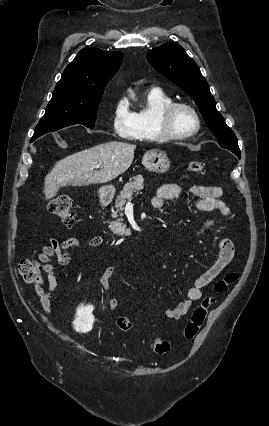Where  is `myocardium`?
I'll use <instances>...</instances> for the list:
<instances>
[{
    "label": "myocardium",
    "mask_w": 269,
    "mask_h": 426,
    "mask_svg": "<svg viewBox=\"0 0 269 426\" xmlns=\"http://www.w3.org/2000/svg\"><path fill=\"white\" fill-rule=\"evenodd\" d=\"M178 109L188 110L195 119V128L191 131L180 133L174 130L172 118ZM157 128L164 139L183 140L196 135L201 128V119L196 109L188 103L173 101L161 109L157 117Z\"/></svg>",
    "instance_id": "obj_1"
}]
</instances>
